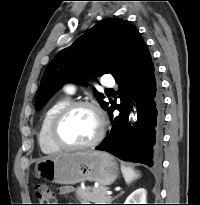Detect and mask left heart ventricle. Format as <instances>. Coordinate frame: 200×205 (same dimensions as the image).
<instances>
[{
	"mask_svg": "<svg viewBox=\"0 0 200 205\" xmlns=\"http://www.w3.org/2000/svg\"><path fill=\"white\" fill-rule=\"evenodd\" d=\"M97 131L98 121L95 114L87 108H78L64 119L59 136L66 144L80 145L91 141Z\"/></svg>",
	"mask_w": 200,
	"mask_h": 205,
	"instance_id": "obj_1",
	"label": "left heart ventricle"
}]
</instances>
